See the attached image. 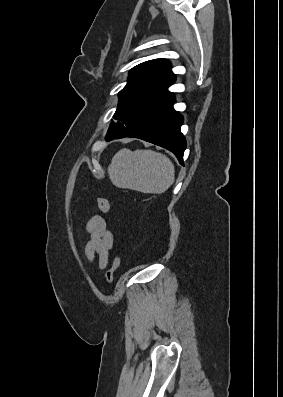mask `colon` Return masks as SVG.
Listing matches in <instances>:
<instances>
[{
	"label": "colon",
	"instance_id": "5ec220e1",
	"mask_svg": "<svg viewBox=\"0 0 283 397\" xmlns=\"http://www.w3.org/2000/svg\"><path fill=\"white\" fill-rule=\"evenodd\" d=\"M98 208L105 214H109L111 212V206L108 199L104 197H100L97 200ZM121 259L119 254L115 257L110 269L105 273L104 280L106 283H111L116 275L117 270L120 267Z\"/></svg>",
	"mask_w": 283,
	"mask_h": 397
}]
</instances>
